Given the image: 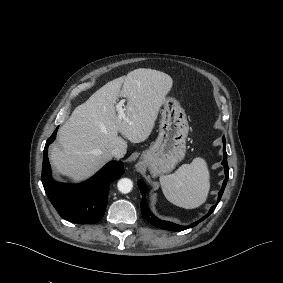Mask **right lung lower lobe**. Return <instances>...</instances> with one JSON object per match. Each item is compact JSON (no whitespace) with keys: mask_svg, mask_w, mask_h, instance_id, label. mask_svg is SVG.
<instances>
[{"mask_svg":"<svg viewBox=\"0 0 283 283\" xmlns=\"http://www.w3.org/2000/svg\"><path fill=\"white\" fill-rule=\"evenodd\" d=\"M57 130L58 127L47 140L44 148L42 183L45 192L64 219L79 224L96 223L105 213L109 185L124 173L123 163L109 162L92 178L81 184L57 183L51 176L47 156L48 145L56 138Z\"/></svg>","mask_w":283,"mask_h":283,"instance_id":"1","label":"right lung lower lobe"}]
</instances>
